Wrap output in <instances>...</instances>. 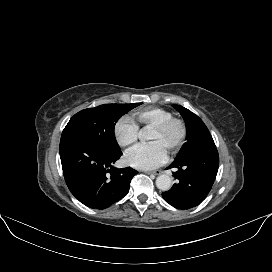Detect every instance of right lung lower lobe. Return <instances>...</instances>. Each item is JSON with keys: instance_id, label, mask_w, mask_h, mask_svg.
<instances>
[{"instance_id": "98d812e1", "label": "right lung lower lobe", "mask_w": 272, "mask_h": 272, "mask_svg": "<svg viewBox=\"0 0 272 272\" xmlns=\"http://www.w3.org/2000/svg\"><path fill=\"white\" fill-rule=\"evenodd\" d=\"M59 151L70 192L90 208L105 209L122 199L138 173L131 167L114 168L112 164L122 155L121 150L107 149L90 138L63 137Z\"/></svg>"}]
</instances>
